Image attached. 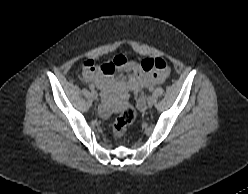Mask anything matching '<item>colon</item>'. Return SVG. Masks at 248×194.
I'll use <instances>...</instances> for the list:
<instances>
[{
    "label": "colon",
    "instance_id": "5ec220e1",
    "mask_svg": "<svg viewBox=\"0 0 248 194\" xmlns=\"http://www.w3.org/2000/svg\"><path fill=\"white\" fill-rule=\"evenodd\" d=\"M166 67V62L162 59H148L144 63L145 70L162 71ZM136 117V111L130 100L124 105L120 115L112 124V133L116 138H122L130 124L133 123Z\"/></svg>",
    "mask_w": 248,
    "mask_h": 194
}]
</instances>
